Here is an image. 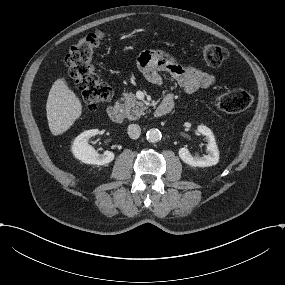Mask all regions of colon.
Wrapping results in <instances>:
<instances>
[{
  "instance_id": "obj_1",
  "label": "colon",
  "mask_w": 285,
  "mask_h": 285,
  "mask_svg": "<svg viewBox=\"0 0 285 285\" xmlns=\"http://www.w3.org/2000/svg\"><path fill=\"white\" fill-rule=\"evenodd\" d=\"M103 37V32L99 30L87 34L70 48L65 57L69 73L92 112L112 95V89L99 78L92 63L94 52ZM202 55L208 65L217 67L227 58V50L220 45L205 44L202 46ZM253 101V95L243 89L229 90L213 99L214 105L227 113L245 111L251 107Z\"/></svg>"
}]
</instances>
